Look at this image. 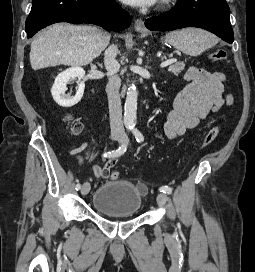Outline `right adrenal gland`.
<instances>
[{"instance_id": "1", "label": "right adrenal gland", "mask_w": 255, "mask_h": 272, "mask_svg": "<svg viewBox=\"0 0 255 272\" xmlns=\"http://www.w3.org/2000/svg\"><path fill=\"white\" fill-rule=\"evenodd\" d=\"M99 66L102 68L103 67V65L102 64H99Z\"/></svg>"}]
</instances>
